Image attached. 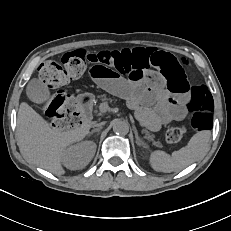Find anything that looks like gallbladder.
I'll use <instances>...</instances> for the list:
<instances>
[{"instance_id":"gallbladder-1","label":"gallbladder","mask_w":231,"mask_h":231,"mask_svg":"<svg viewBox=\"0 0 231 231\" xmlns=\"http://www.w3.org/2000/svg\"><path fill=\"white\" fill-rule=\"evenodd\" d=\"M28 98L34 103H43L49 100L50 92L45 84L38 79H32L26 89Z\"/></svg>"}]
</instances>
